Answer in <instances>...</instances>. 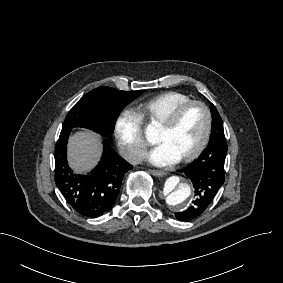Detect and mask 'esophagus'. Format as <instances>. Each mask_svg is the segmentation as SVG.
Returning a JSON list of instances; mask_svg holds the SVG:
<instances>
[{
  "mask_svg": "<svg viewBox=\"0 0 283 283\" xmlns=\"http://www.w3.org/2000/svg\"><path fill=\"white\" fill-rule=\"evenodd\" d=\"M150 171V173L152 174V175H154V176H164V175H166V173L164 172V171H161V170H149Z\"/></svg>",
  "mask_w": 283,
  "mask_h": 283,
  "instance_id": "34e87169",
  "label": "esophagus"
}]
</instances>
